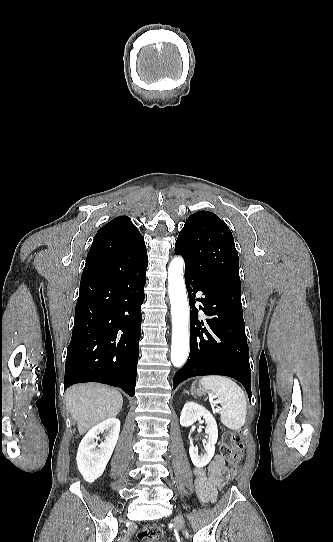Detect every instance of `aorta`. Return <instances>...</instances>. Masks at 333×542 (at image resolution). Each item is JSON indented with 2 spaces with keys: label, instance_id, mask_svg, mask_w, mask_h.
Listing matches in <instances>:
<instances>
[{
  "label": "aorta",
  "instance_id": "1",
  "mask_svg": "<svg viewBox=\"0 0 333 542\" xmlns=\"http://www.w3.org/2000/svg\"><path fill=\"white\" fill-rule=\"evenodd\" d=\"M184 260L176 256L168 268V294L172 316L170 360L181 368L189 356V308L183 278Z\"/></svg>",
  "mask_w": 333,
  "mask_h": 542
}]
</instances>
